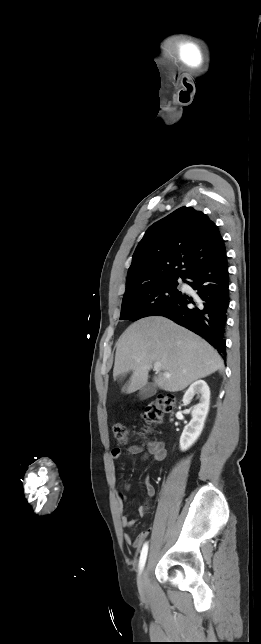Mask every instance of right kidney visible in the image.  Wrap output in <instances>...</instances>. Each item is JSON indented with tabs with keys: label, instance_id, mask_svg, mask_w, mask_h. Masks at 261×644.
I'll return each mask as SVG.
<instances>
[{
	"label": "right kidney",
	"instance_id": "obj_1",
	"mask_svg": "<svg viewBox=\"0 0 261 644\" xmlns=\"http://www.w3.org/2000/svg\"><path fill=\"white\" fill-rule=\"evenodd\" d=\"M195 394L198 395L200 401L193 407L192 419L184 427L180 437V449L182 451H186L196 442L203 430L209 411L210 389L205 381L198 380L188 388L183 396L184 405H188Z\"/></svg>",
	"mask_w": 261,
	"mask_h": 644
}]
</instances>
